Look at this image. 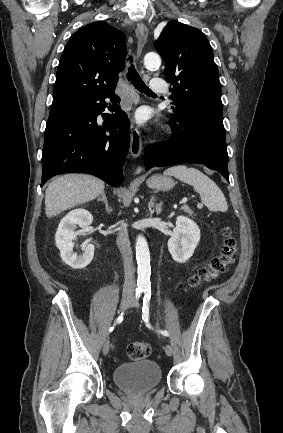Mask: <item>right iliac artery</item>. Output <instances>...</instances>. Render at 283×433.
<instances>
[{
  "mask_svg": "<svg viewBox=\"0 0 283 433\" xmlns=\"http://www.w3.org/2000/svg\"><path fill=\"white\" fill-rule=\"evenodd\" d=\"M142 291H143L142 287H139V288L136 289V298L137 299L140 297V294L142 293ZM122 320H123V313H121V315L116 319V321L114 323V326H115L116 323H121ZM114 326L110 327L109 332L113 331Z\"/></svg>",
  "mask_w": 283,
  "mask_h": 433,
  "instance_id": "82829eb1",
  "label": "right iliac artery"
}]
</instances>
